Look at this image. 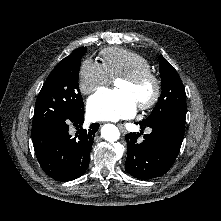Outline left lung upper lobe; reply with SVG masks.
I'll use <instances>...</instances> for the list:
<instances>
[{"mask_svg":"<svg viewBox=\"0 0 221 221\" xmlns=\"http://www.w3.org/2000/svg\"><path fill=\"white\" fill-rule=\"evenodd\" d=\"M159 60L162 92L152 113L144 122L187 111L185 89L177 71L163 56L160 55Z\"/></svg>","mask_w":221,"mask_h":221,"instance_id":"1","label":"left lung upper lobe"}]
</instances>
